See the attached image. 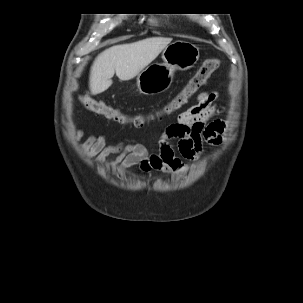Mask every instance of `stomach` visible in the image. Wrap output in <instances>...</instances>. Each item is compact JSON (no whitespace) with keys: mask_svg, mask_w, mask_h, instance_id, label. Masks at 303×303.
<instances>
[{"mask_svg":"<svg viewBox=\"0 0 303 303\" xmlns=\"http://www.w3.org/2000/svg\"><path fill=\"white\" fill-rule=\"evenodd\" d=\"M163 63L146 67L136 79L139 91L154 95L168 90L176 70L192 68L199 60V48L184 40H176L167 45L162 53Z\"/></svg>","mask_w":303,"mask_h":303,"instance_id":"stomach-1","label":"stomach"}]
</instances>
